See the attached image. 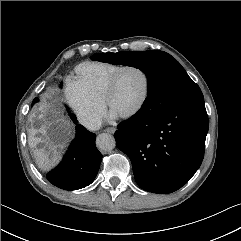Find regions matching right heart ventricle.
Masks as SVG:
<instances>
[{
  "label": "right heart ventricle",
  "instance_id": "1",
  "mask_svg": "<svg viewBox=\"0 0 241 241\" xmlns=\"http://www.w3.org/2000/svg\"><path fill=\"white\" fill-rule=\"evenodd\" d=\"M108 62H86L76 68V80L96 100L103 102L111 77L122 67Z\"/></svg>",
  "mask_w": 241,
  "mask_h": 241
}]
</instances>
